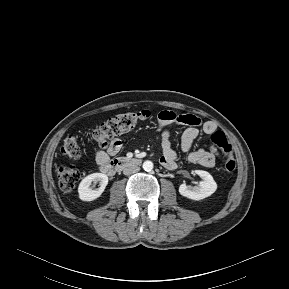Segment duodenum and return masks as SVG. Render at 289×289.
Returning a JSON list of instances; mask_svg holds the SVG:
<instances>
[{
  "instance_id": "obj_1",
  "label": "duodenum",
  "mask_w": 289,
  "mask_h": 289,
  "mask_svg": "<svg viewBox=\"0 0 289 289\" xmlns=\"http://www.w3.org/2000/svg\"><path fill=\"white\" fill-rule=\"evenodd\" d=\"M141 164V159L136 157H120L114 160H109L100 166L103 173L113 175L116 172L126 168L135 167Z\"/></svg>"
}]
</instances>
